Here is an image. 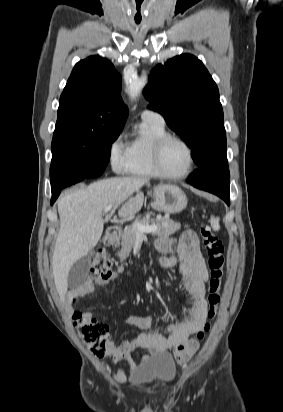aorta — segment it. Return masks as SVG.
<instances>
[{
  "instance_id": "obj_1",
  "label": "aorta",
  "mask_w": 283,
  "mask_h": 412,
  "mask_svg": "<svg viewBox=\"0 0 283 412\" xmlns=\"http://www.w3.org/2000/svg\"><path fill=\"white\" fill-rule=\"evenodd\" d=\"M147 81L143 79H137L130 82L129 86V95L131 99H136V97L140 94L142 89L145 87Z\"/></svg>"
}]
</instances>
